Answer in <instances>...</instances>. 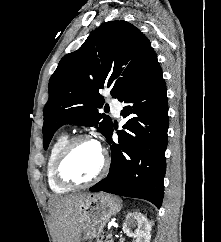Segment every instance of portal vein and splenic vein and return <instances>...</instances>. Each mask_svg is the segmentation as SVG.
I'll return each instance as SVG.
<instances>
[{
    "mask_svg": "<svg viewBox=\"0 0 221 242\" xmlns=\"http://www.w3.org/2000/svg\"><path fill=\"white\" fill-rule=\"evenodd\" d=\"M112 237V234L110 233L109 235H108V238H111Z\"/></svg>",
    "mask_w": 221,
    "mask_h": 242,
    "instance_id": "obj_1",
    "label": "portal vein and splenic vein"
}]
</instances>
